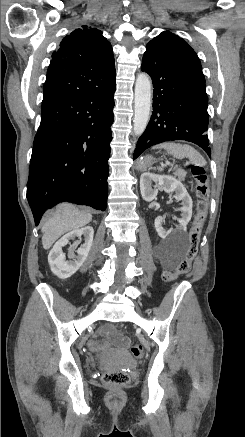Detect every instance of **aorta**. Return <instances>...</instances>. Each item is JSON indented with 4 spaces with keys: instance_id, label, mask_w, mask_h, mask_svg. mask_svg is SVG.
<instances>
[{
    "instance_id": "762f6f07",
    "label": "aorta",
    "mask_w": 245,
    "mask_h": 437,
    "mask_svg": "<svg viewBox=\"0 0 245 437\" xmlns=\"http://www.w3.org/2000/svg\"><path fill=\"white\" fill-rule=\"evenodd\" d=\"M151 80L146 73H140L135 82L134 133L140 136L145 131L150 118Z\"/></svg>"
}]
</instances>
